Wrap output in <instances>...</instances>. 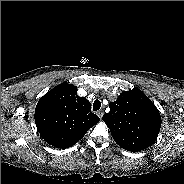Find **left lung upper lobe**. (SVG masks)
I'll return each instance as SVG.
<instances>
[{
  "mask_svg": "<svg viewBox=\"0 0 184 184\" xmlns=\"http://www.w3.org/2000/svg\"><path fill=\"white\" fill-rule=\"evenodd\" d=\"M109 108L103 121L120 147L138 152L154 143L161 128V116L141 90L134 87L122 92Z\"/></svg>",
  "mask_w": 184,
  "mask_h": 184,
  "instance_id": "obj_1",
  "label": "left lung upper lobe"
}]
</instances>
